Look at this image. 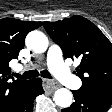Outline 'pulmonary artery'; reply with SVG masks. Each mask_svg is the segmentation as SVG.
I'll return each instance as SVG.
<instances>
[{"instance_id":"pulmonary-artery-1","label":"pulmonary artery","mask_w":112,"mask_h":112,"mask_svg":"<svg viewBox=\"0 0 112 112\" xmlns=\"http://www.w3.org/2000/svg\"><path fill=\"white\" fill-rule=\"evenodd\" d=\"M47 66L51 73L64 85L71 89H79L81 81L74 76L63 62L62 50L56 45L52 44L47 52ZM23 67H19L21 70Z\"/></svg>"}]
</instances>
